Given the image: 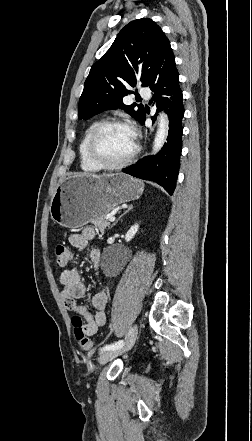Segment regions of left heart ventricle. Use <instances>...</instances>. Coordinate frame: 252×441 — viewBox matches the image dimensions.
Instances as JSON below:
<instances>
[{"label":"left heart ventricle","mask_w":252,"mask_h":441,"mask_svg":"<svg viewBox=\"0 0 252 441\" xmlns=\"http://www.w3.org/2000/svg\"><path fill=\"white\" fill-rule=\"evenodd\" d=\"M134 148V136L124 126H109L102 130L96 140V153L108 163L125 159Z\"/></svg>","instance_id":"b2bd125f"}]
</instances>
